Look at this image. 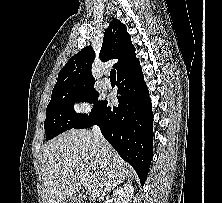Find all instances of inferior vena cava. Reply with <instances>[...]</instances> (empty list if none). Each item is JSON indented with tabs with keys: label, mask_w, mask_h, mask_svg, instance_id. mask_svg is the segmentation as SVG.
I'll return each instance as SVG.
<instances>
[{
	"label": "inferior vena cava",
	"mask_w": 222,
	"mask_h": 203,
	"mask_svg": "<svg viewBox=\"0 0 222 203\" xmlns=\"http://www.w3.org/2000/svg\"><path fill=\"white\" fill-rule=\"evenodd\" d=\"M92 132L94 136V140L97 144V146L101 149L103 155L105 156L108 152V143L101 134V131L98 126H93L92 127Z\"/></svg>",
	"instance_id": "inferior-vena-cava-1"
}]
</instances>
